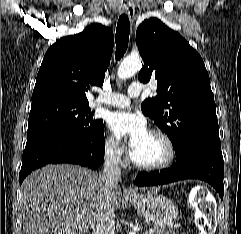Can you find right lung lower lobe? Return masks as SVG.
Instances as JSON below:
<instances>
[{"label":"right lung lower lobe","instance_id":"obj_1","mask_svg":"<svg viewBox=\"0 0 241 234\" xmlns=\"http://www.w3.org/2000/svg\"><path fill=\"white\" fill-rule=\"evenodd\" d=\"M104 151L103 128L90 137L63 129L27 133L20 184L33 170L47 164L72 163L96 169L103 161Z\"/></svg>","mask_w":241,"mask_h":234}]
</instances>
